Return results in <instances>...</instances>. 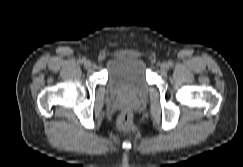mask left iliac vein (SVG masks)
<instances>
[{"label": "left iliac vein", "instance_id": "4c4485c4", "mask_svg": "<svg viewBox=\"0 0 243 167\" xmlns=\"http://www.w3.org/2000/svg\"><path fill=\"white\" fill-rule=\"evenodd\" d=\"M161 71L166 72L169 69V64L166 62H163L160 66Z\"/></svg>", "mask_w": 243, "mask_h": 167}]
</instances>
